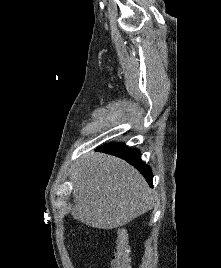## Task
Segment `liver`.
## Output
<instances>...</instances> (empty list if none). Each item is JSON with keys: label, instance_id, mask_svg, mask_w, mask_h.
<instances>
[{"label": "liver", "instance_id": "obj_1", "mask_svg": "<svg viewBox=\"0 0 221 268\" xmlns=\"http://www.w3.org/2000/svg\"><path fill=\"white\" fill-rule=\"evenodd\" d=\"M71 181V215L94 228L123 226L154 206V196L144 177L115 156L98 152L83 155Z\"/></svg>", "mask_w": 221, "mask_h": 268}]
</instances>
